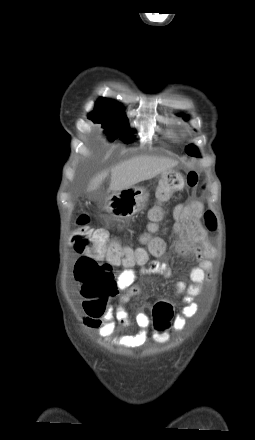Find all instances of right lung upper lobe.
Wrapping results in <instances>:
<instances>
[{
  "label": "right lung upper lobe",
  "instance_id": "cb5924a9",
  "mask_svg": "<svg viewBox=\"0 0 255 440\" xmlns=\"http://www.w3.org/2000/svg\"><path fill=\"white\" fill-rule=\"evenodd\" d=\"M96 104L99 106H104V107H121V105L118 102L111 100V99H108V98H100L96 102Z\"/></svg>",
  "mask_w": 255,
  "mask_h": 440
}]
</instances>
